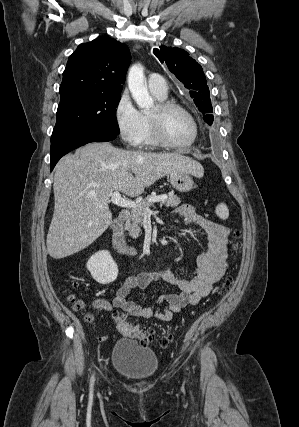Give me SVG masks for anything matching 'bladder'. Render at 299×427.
Here are the masks:
<instances>
[{
    "label": "bladder",
    "instance_id": "bladder-1",
    "mask_svg": "<svg viewBox=\"0 0 299 427\" xmlns=\"http://www.w3.org/2000/svg\"><path fill=\"white\" fill-rule=\"evenodd\" d=\"M112 360L116 372L133 381L150 379L158 368V357L154 351L128 338L115 343Z\"/></svg>",
    "mask_w": 299,
    "mask_h": 427
}]
</instances>
